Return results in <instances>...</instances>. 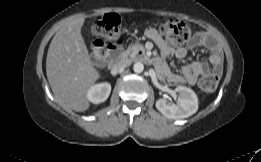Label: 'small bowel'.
<instances>
[{
	"mask_svg": "<svg viewBox=\"0 0 261 162\" xmlns=\"http://www.w3.org/2000/svg\"><path fill=\"white\" fill-rule=\"evenodd\" d=\"M147 37L151 39L161 50L163 56L174 54L176 58L182 59L187 54L185 47L172 48L154 29H150ZM191 47L208 46L210 54L208 62L194 61L182 67V75L176 74L169 70L161 60L156 62V66L161 74L174 83L186 82L195 85L200 75L220 76L222 73V52L214 40L206 33L199 32L194 35L190 42Z\"/></svg>",
	"mask_w": 261,
	"mask_h": 162,
	"instance_id": "obj_1",
	"label": "small bowel"
}]
</instances>
